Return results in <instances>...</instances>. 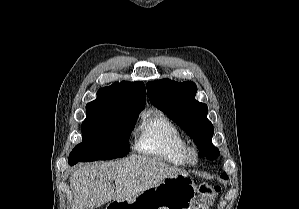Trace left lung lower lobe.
I'll use <instances>...</instances> for the list:
<instances>
[{"label": "left lung lower lobe", "mask_w": 299, "mask_h": 209, "mask_svg": "<svg viewBox=\"0 0 299 209\" xmlns=\"http://www.w3.org/2000/svg\"><path fill=\"white\" fill-rule=\"evenodd\" d=\"M221 177L224 178V179H228V176L225 173L222 174Z\"/></svg>", "instance_id": "left-lung-lower-lobe-1"}]
</instances>
